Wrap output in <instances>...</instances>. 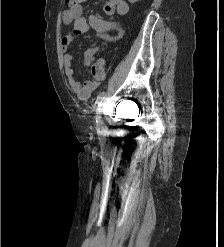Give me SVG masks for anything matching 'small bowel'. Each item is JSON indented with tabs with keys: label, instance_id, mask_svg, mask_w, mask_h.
I'll return each mask as SVG.
<instances>
[{
	"label": "small bowel",
	"instance_id": "c3829d8e",
	"mask_svg": "<svg viewBox=\"0 0 224 247\" xmlns=\"http://www.w3.org/2000/svg\"><path fill=\"white\" fill-rule=\"evenodd\" d=\"M103 10L107 15H113L116 13L120 16H124L129 11V5L125 0H107L103 6ZM62 21L65 25H73L72 30L63 37L61 43L64 52V73L73 93L79 99L86 100L97 89L99 81L91 80L80 83L76 80L72 68L74 55L69 52L73 42L78 35L85 33L89 28H92L103 41L107 42L120 37L122 29L117 22L101 19L94 14L84 17L82 5L65 10L62 14ZM113 32H116L117 34L113 35ZM98 49L99 47H92L84 52V65H90L94 61Z\"/></svg>",
	"mask_w": 224,
	"mask_h": 247
}]
</instances>
